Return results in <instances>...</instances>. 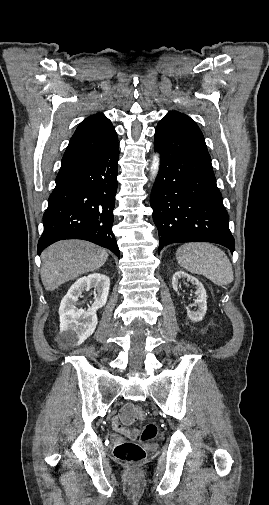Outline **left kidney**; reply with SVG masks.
I'll return each instance as SVG.
<instances>
[{"instance_id":"obj_1","label":"left kidney","mask_w":269,"mask_h":505,"mask_svg":"<svg viewBox=\"0 0 269 505\" xmlns=\"http://www.w3.org/2000/svg\"><path fill=\"white\" fill-rule=\"evenodd\" d=\"M181 278L187 279V281L192 282L195 285V295L196 299L194 301V306L198 307V309L190 310L189 307L187 309V316L191 321L197 322L201 321L207 311V294L203 284L194 276L187 274L186 272L179 270L175 272L172 278V288L177 291L179 288V281Z\"/></svg>"}]
</instances>
